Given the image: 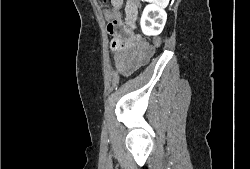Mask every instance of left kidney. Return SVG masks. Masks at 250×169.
<instances>
[{
  "instance_id": "obj_1",
  "label": "left kidney",
  "mask_w": 250,
  "mask_h": 169,
  "mask_svg": "<svg viewBox=\"0 0 250 169\" xmlns=\"http://www.w3.org/2000/svg\"><path fill=\"white\" fill-rule=\"evenodd\" d=\"M167 20V12L158 4H147L140 18V26L144 34H160Z\"/></svg>"
}]
</instances>
